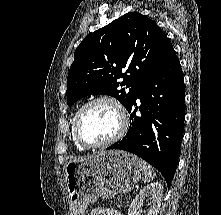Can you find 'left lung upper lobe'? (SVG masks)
Here are the masks:
<instances>
[{
  "mask_svg": "<svg viewBox=\"0 0 221 215\" xmlns=\"http://www.w3.org/2000/svg\"><path fill=\"white\" fill-rule=\"evenodd\" d=\"M170 46L160 27L139 12H129L87 35L75 50L69 70L67 104L105 94L128 109Z\"/></svg>",
  "mask_w": 221,
  "mask_h": 215,
  "instance_id": "obj_1",
  "label": "left lung upper lobe"
}]
</instances>
